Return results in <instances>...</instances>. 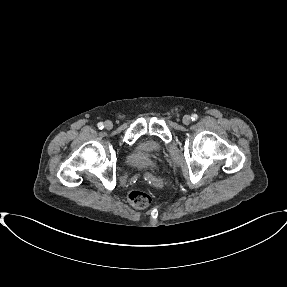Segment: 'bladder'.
<instances>
[{
    "mask_svg": "<svg viewBox=\"0 0 287 287\" xmlns=\"http://www.w3.org/2000/svg\"><path fill=\"white\" fill-rule=\"evenodd\" d=\"M162 146L154 140H146L133 152L130 163L137 168L155 166L162 157Z\"/></svg>",
    "mask_w": 287,
    "mask_h": 287,
    "instance_id": "obj_1",
    "label": "bladder"
}]
</instances>
